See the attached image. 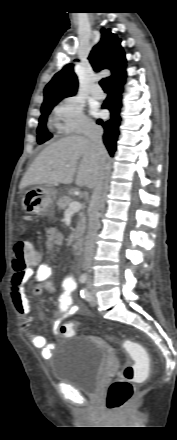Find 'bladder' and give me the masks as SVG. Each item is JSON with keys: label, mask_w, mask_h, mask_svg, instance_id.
Returning <instances> with one entry per match:
<instances>
[{"label": "bladder", "mask_w": 177, "mask_h": 440, "mask_svg": "<svg viewBox=\"0 0 177 440\" xmlns=\"http://www.w3.org/2000/svg\"><path fill=\"white\" fill-rule=\"evenodd\" d=\"M109 361V348L98 338L79 337L73 345H60L50 365L53 381L67 383L95 395Z\"/></svg>", "instance_id": "1"}]
</instances>
